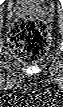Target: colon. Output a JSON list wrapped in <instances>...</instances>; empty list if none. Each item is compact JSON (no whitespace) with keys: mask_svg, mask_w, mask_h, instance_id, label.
Segmentation results:
<instances>
[{"mask_svg":"<svg viewBox=\"0 0 63 107\" xmlns=\"http://www.w3.org/2000/svg\"><path fill=\"white\" fill-rule=\"evenodd\" d=\"M50 34L40 20L26 17L14 24L9 32V44L13 53L27 60L42 58L48 49Z\"/></svg>","mask_w":63,"mask_h":107,"instance_id":"5ec220e1","label":"colon"}]
</instances>
